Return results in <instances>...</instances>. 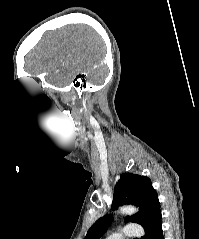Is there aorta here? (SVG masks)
Returning <instances> with one entry per match:
<instances>
[{
    "label": "aorta",
    "mask_w": 199,
    "mask_h": 239,
    "mask_svg": "<svg viewBox=\"0 0 199 239\" xmlns=\"http://www.w3.org/2000/svg\"><path fill=\"white\" fill-rule=\"evenodd\" d=\"M119 211L122 214H133L137 211V209L134 206L128 205L121 207Z\"/></svg>",
    "instance_id": "aorta-1"
}]
</instances>
